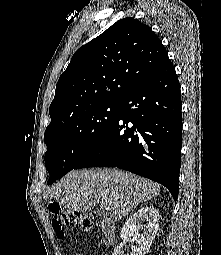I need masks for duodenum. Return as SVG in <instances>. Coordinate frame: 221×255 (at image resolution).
<instances>
[{"label": "duodenum", "instance_id": "duodenum-1", "mask_svg": "<svg viewBox=\"0 0 221 255\" xmlns=\"http://www.w3.org/2000/svg\"><path fill=\"white\" fill-rule=\"evenodd\" d=\"M101 230L107 242L109 244H112L114 242V236H115L114 224L110 220L104 219L101 221Z\"/></svg>", "mask_w": 221, "mask_h": 255}]
</instances>
